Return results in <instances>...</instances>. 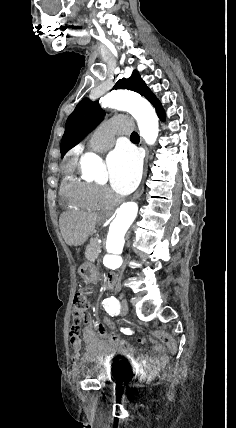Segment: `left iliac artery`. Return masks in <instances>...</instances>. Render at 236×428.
I'll use <instances>...</instances> for the list:
<instances>
[{
  "mask_svg": "<svg viewBox=\"0 0 236 428\" xmlns=\"http://www.w3.org/2000/svg\"><path fill=\"white\" fill-rule=\"evenodd\" d=\"M102 303L104 304L103 307L107 312L120 306L119 301L113 296H111L110 298L104 299Z\"/></svg>",
  "mask_w": 236,
  "mask_h": 428,
  "instance_id": "obj_1",
  "label": "left iliac artery"
}]
</instances>
